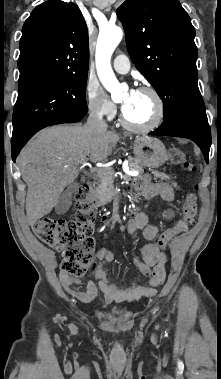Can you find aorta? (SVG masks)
<instances>
[{"label":"aorta","mask_w":221,"mask_h":379,"mask_svg":"<svg viewBox=\"0 0 221 379\" xmlns=\"http://www.w3.org/2000/svg\"><path fill=\"white\" fill-rule=\"evenodd\" d=\"M122 29L116 26H107L100 30L96 46V68L98 77L105 87L111 93L112 99L120 97V85L111 68V56L122 40Z\"/></svg>","instance_id":"1"}]
</instances>
